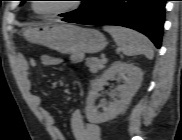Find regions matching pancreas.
I'll use <instances>...</instances> for the list:
<instances>
[{
    "label": "pancreas",
    "instance_id": "1",
    "mask_svg": "<svg viewBox=\"0 0 182 140\" xmlns=\"http://www.w3.org/2000/svg\"><path fill=\"white\" fill-rule=\"evenodd\" d=\"M105 64L106 62L94 57L86 59V65L92 73H97L99 70L104 69Z\"/></svg>",
    "mask_w": 182,
    "mask_h": 140
}]
</instances>
